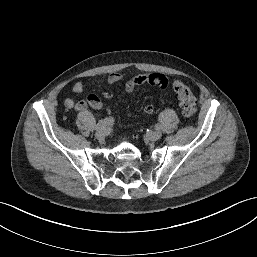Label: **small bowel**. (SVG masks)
I'll use <instances>...</instances> for the list:
<instances>
[{
	"mask_svg": "<svg viewBox=\"0 0 257 257\" xmlns=\"http://www.w3.org/2000/svg\"><path fill=\"white\" fill-rule=\"evenodd\" d=\"M123 79L120 73H112L107 77V82L111 85L118 84ZM143 84H150L153 86H158L161 89H165L168 86V79L165 75L160 73H151L148 75H137L128 79L124 84L125 93L131 94L134 89ZM72 90L74 93L80 94L84 91V84L81 81H77L73 84ZM64 105L67 109H75L76 111H83L88 107L96 110H104L109 112V110L104 106L100 98L95 94H89L85 100L79 102H74L72 99L67 98L64 101ZM144 112L146 114H152L154 112V106L152 104H147L144 107Z\"/></svg>",
	"mask_w": 257,
	"mask_h": 257,
	"instance_id": "1",
	"label": "small bowel"
}]
</instances>
